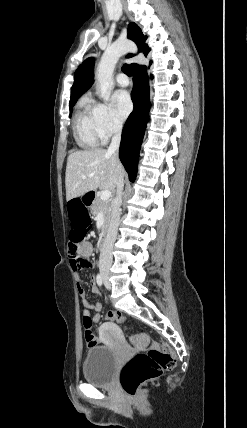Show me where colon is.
Segmentation results:
<instances>
[{
    "label": "colon",
    "instance_id": "1",
    "mask_svg": "<svg viewBox=\"0 0 247 428\" xmlns=\"http://www.w3.org/2000/svg\"><path fill=\"white\" fill-rule=\"evenodd\" d=\"M64 207L67 209L68 220L66 228L69 229V253L76 258L79 269L87 268L89 262L78 255L80 239H89L92 231L93 219L88 217L90 205L84 204L83 199H78L77 195H72L71 199L64 200ZM106 321L125 322L124 317L117 312H106ZM84 337L88 346L97 343L92 331V321L88 317H83ZM129 342L132 347L141 350L135 354L123 367L120 383L126 394L136 396L141 385L145 382L159 378L165 371L173 369L176 365V356L166 345L154 342L145 332L133 334Z\"/></svg>",
    "mask_w": 247,
    "mask_h": 428
}]
</instances>
